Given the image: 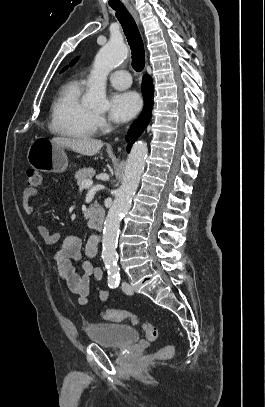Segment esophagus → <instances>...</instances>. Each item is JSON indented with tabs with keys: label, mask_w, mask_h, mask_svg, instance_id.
<instances>
[{
	"label": "esophagus",
	"mask_w": 265,
	"mask_h": 407,
	"mask_svg": "<svg viewBox=\"0 0 265 407\" xmlns=\"http://www.w3.org/2000/svg\"><path fill=\"white\" fill-rule=\"evenodd\" d=\"M128 10H129V12L132 14V16L134 17V19L136 20V22L139 24L140 22H139L138 15H137V13L135 12V10L133 9V7H132V6H128Z\"/></svg>",
	"instance_id": "esophagus-1"
}]
</instances>
